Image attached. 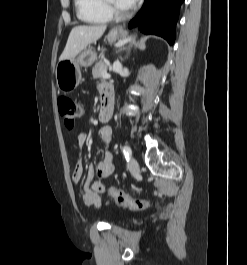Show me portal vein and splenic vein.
<instances>
[{
    "label": "portal vein and splenic vein",
    "mask_w": 247,
    "mask_h": 265,
    "mask_svg": "<svg viewBox=\"0 0 247 265\" xmlns=\"http://www.w3.org/2000/svg\"><path fill=\"white\" fill-rule=\"evenodd\" d=\"M103 77H104V78H110L111 76H110L108 73H105V74L103 75Z\"/></svg>",
    "instance_id": "obj_1"
}]
</instances>
